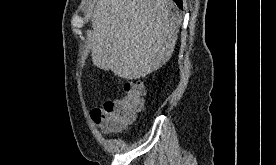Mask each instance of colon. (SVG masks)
I'll list each match as a JSON object with an SVG mask.
<instances>
[{"label":"colon","mask_w":276,"mask_h":165,"mask_svg":"<svg viewBox=\"0 0 276 165\" xmlns=\"http://www.w3.org/2000/svg\"><path fill=\"white\" fill-rule=\"evenodd\" d=\"M143 104V85L140 82H128L125 84L123 95L106 101L102 106V112L95 114V117L109 122L107 130H120L133 121Z\"/></svg>","instance_id":"5ec220e1"}]
</instances>
